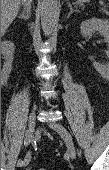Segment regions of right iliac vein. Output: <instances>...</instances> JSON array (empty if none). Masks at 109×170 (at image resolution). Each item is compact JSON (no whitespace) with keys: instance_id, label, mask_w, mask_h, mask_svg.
Segmentation results:
<instances>
[{"instance_id":"63e3f726","label":"right iliac vein","mask_w":109,"mask_h":170,"mask_svg":"<svg viewBox=\"0 0 109 170\" xmlns=\"http://www.w3.org/2000/svg\"><path fill=\"white\" fill-rule=\"evenodd\" d=\"M35 127H36V115L32 113L29 117L28 128L26 132V139H28L30 142L34 140ZM30 159H31V155L30 153H28L23 161L24 163L22 166L28 165Z\"/></svg>"}]
</instances>
